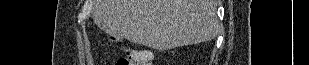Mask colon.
<instances>
[{
    "label": "colon",
    "instance_id": "5ec220e1",
    "mask_svg": "<svg viewBox=\"0 0 309 65\" xmlns=\"http://www.w3.org/2000/svg\"><path fill=\"white\" fill-rule=\"evenodd\" d=\"M152 56L150 51H138L128 46L122 48V56L118 60V65H147L144 64L146 59Z\"/></svg>",
    "mask_w": 309,
    "mask_h": 65
}]
</instances>
